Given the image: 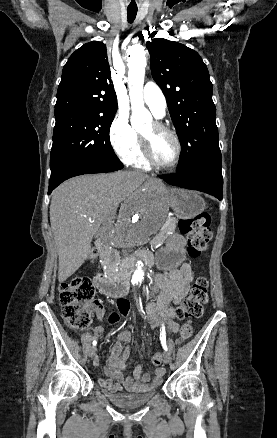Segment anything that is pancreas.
Listing matches in <instances>:
<instances>
[{
	"label": "pancreas",
	"mask_w": 277,
	"mask_h": 438,
	"mask_svg": "<svg viewBox=\"0 0 277 438\" xmlns=\"http://www.w3.org/2000/svg\"><path fill=\"white\" fill-rule=\"evenodd\" d=\"M174 226H169V228H159L157 230V235H153L152 239H148L146 242V245L148 248H156L158 244H162L163 243V237L165 238L168 235V230L169 231H174ZM107 257L104 261V264L106 267H115L117 264V261L115 259L116 254L113 251H110L107 254Z\"/></svg>",
	"instance_id": "1"
}]
</instances>
